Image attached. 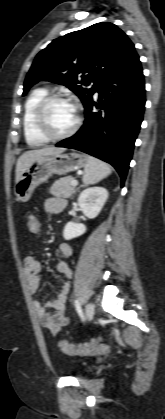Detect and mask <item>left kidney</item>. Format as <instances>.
I'll return each instance as SVG.
<instances>
[{
	"instance_id": "1",
	"label": "left kidney",
	"mask_w": 165,
	"mask_h": 419,
	"mask_svg": "<svg viewBox=\"0 0 165 419\" xmlns=\"http://www.w3.org/2000/svg\"><path fill=\"white\" fill-rule=\"evenodd\" d=\"M108 198V191L99 186L86 188L78 197V206L83 214L89 218L94 219L98 216ZM86 232L84 224L68 222L63 230V237L65 240H71L79 237Z\"/></svg>"
}]
</instances>
